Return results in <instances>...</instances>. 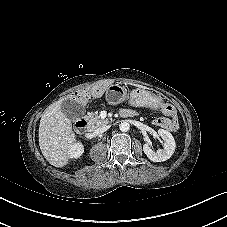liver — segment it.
<instances>
[{
    "instance_id": "1",
    "label": "liver",
    "mask_w": 227,
    "mask_h": 227,
    "mask_svg": "<svg viewBox=\"0 0 227 227\" xmlns=\"http://www.w3.org/2000/svg\"><path fill=\"white\" fill-rule=\"evenodd\" d=\"M62 100L51 104L41 117L39 146L45 159L55 167L67 165L68 150L76 142L72 123L61 110Z\"/></svg>"
}]
</instances>
